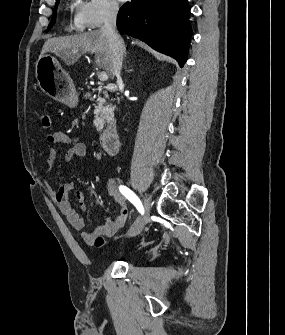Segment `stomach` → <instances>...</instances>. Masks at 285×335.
<instances>
[{"instance_id": "obj_1", "label": "stomach", "mask_w": 285, "mask_h": 335, "mask_svg": "<svg viewBox=\"0 0 285 335\" xmlns=\"http://www.w3.org/2000/svg\"><path fill=\"white\" fill-rule=\"evenodd\" d=\"M35 76L39 88L46 96L62 104L76 106L78 96L74 84L54 56L50 54L40 56L36 64Z\"/></svg>"}]
</instances>
